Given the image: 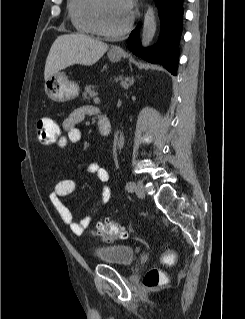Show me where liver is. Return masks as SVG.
Instances as JSON below:
<instances>
[{
	"label": "liver",
	"mask_w": 245,
	"mask_h": 319,
	"mask_svg": "<svg viewBox=\"0 0 245 319\" xmlns=\"http://www.w3.org/2000/svg\"><path fill=\"white\" fill-rule=\"evenodd\" d=\"M108 50V45L85 34H64L57 37L49 51L45 81L56 72L74 64L91 66Z\"/></svg>",
	"instance_id": "6515ba94"
}]
</instances>
